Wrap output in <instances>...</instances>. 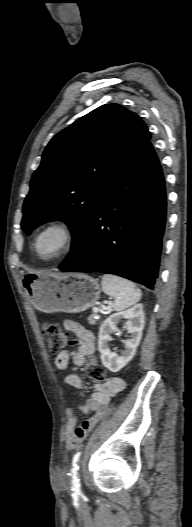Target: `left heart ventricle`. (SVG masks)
Masks as SVG:
<instances>
[{
  "instance_id": "obj_1",
  "label": "left heart ventricle",
  "mask_w": 192,
  "mask_h": 527,
  "mask_svg": "<svg viewBox=\"0 0 192 527\" xmlns=\"http://www.w3.org/2000/svg\"><path fill=\"white\" fill-rule=\"evenodd\" d=\"M62 242V233L59 230L45 232L38 241V249L42 255H50L55 252Z\"/></svg>"
}]
</instances>
